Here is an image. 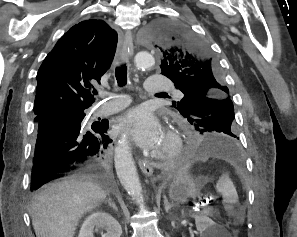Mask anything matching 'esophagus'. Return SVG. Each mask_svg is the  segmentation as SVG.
Here are the masks:
<instances>
[{
	"mask_svg": "<svg viewBox=\"0 0 297 237\" xmlns=\"http://www.w3.org/2000/svg\"><path fill=\"white\" fill-rule=\"evenodd\" d=\"M133 38L131 32H127L121 50V61L126 62L133 55ZM140 168L146 176L153 173V167L148 161H141Z\"/></svg>",
	"mask_w": 297,
	"mask_h": 237,
	"instance_id": "1",
	"label": "esophagus"
}]
</instances>
